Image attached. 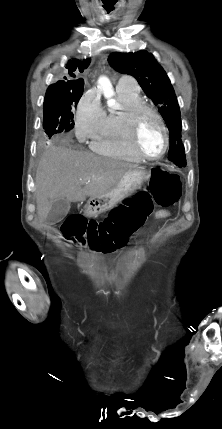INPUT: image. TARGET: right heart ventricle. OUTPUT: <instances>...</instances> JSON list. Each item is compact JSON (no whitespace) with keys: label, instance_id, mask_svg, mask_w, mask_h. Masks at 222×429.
Returning a JSON list of instances; mask_svg holds the SVG:
<instances>
[{"label":"right heart ventricle","instance_id":"e07e8e85","mask_svg":"<svg viewBox=\"0 0 222 429\" xmlns=\"http://www.w3.org/2000/svg\"><path fill=\"white\" fill-rule=\"evenodd\" d=\"M120 102L118 110H109L101 129L92 138V150L108 157L130 162H139L141 158L132 150L128 142L126 117L129 109L143 103L138 91L117 89Z\"/></svg>","mask_w":222,"mask_h":429}]
</instances>
